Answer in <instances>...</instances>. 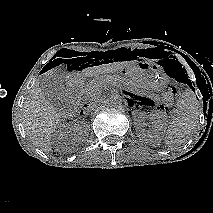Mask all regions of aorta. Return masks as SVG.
Returning a JSON list of instances; mask_svg holds the SVG:
<instances>
[{
	"instance_id": "obj_1",
	"label": "aorta",
	"mask_w": 213,
	"mask_h": 213,
	"mask_svg": "<svg viewBox=\"0 0 213 213\" xmlns=\"http://www.w3.org/2000/svg\"><path fill=\"white\" fill-rule=\"evenodd\" d=\"M106 101L107 104L112 108H119L122 106V98L117 93L111 94V96Z\"/></svg>"
}]
</instances>
